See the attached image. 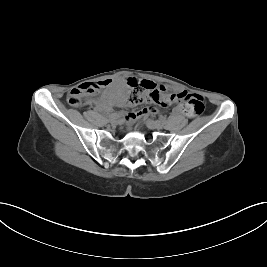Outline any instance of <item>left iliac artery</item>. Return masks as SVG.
Masks as SVG:
<instances>
[{"instance_id":"obj_1","label":"left iliac artery","mask_w":267,"mask_h":267,"mask_svg":"<svg viewBox=\"0 0 267 267\" xmlns=\"http://www.w3.org/2000/svg\"><path fill=\"white\" fill-rule=\"evenodd\" d=\"M160 120H161L162 122H166V119H165L164 117H161Z\"/></svg>"}]
</instances>
